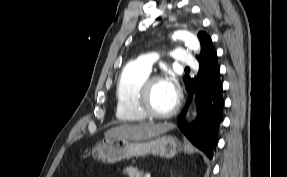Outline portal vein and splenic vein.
Here are the masks:
<instances>
[{
    "mask_svg": "<svg viewBox=\"0 0 287 177\" xmlns=\"http://www.w3.org/2000/svg\"><path fill=\"white\" fill-rule=\"evenodd\" d=\"M145 177H150V174H147Z\"/></svg>",
    "mask_w": 287,
    "mask_h": 177,
    "instance_id": "18ae733b",
    "label": "portal vein and splenic vein"
}]
</instances>
